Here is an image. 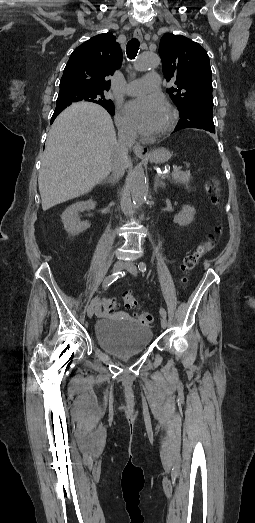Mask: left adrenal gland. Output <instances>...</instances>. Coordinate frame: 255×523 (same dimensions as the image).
I'll list each match as a JSON object with an SVG mask.
<instances>
[{
	"mask_svg": "<svg viewBox=\"0 0 255 523\" xmlns=\"http://www.w3.org/2000/svg\"><path fill=\"white\" fill-rule=\"evenodd\" d=\"M164 178H160V176H155L154 180V190L157 192L158 186H161V188H165V184L163 182Z\"/></svg>",
	"mask_w": 255,
	"mask_h": 523,
	"instance_id": "obj_1",
	"label": "left adrenal gland"
}]
</instances>
